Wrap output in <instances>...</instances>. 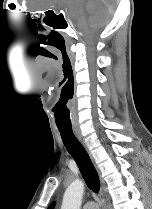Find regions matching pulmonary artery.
Masks as SVG:
<instances>
[{"mask_svg": "<svg viewBox=\"0 0 152 209\" xmlns=\"http://www.w3.org/2000/svg\"><path fill=\"white\" fill-rule=\"evenodd\" d=\"M83 209H98V206L95 202L89 201L83 206Z\"/></svg>", "mask_w": 152, "mask_h": 209, "instance_id": "1", "label": "pulmonary artery"}]
</instances>
